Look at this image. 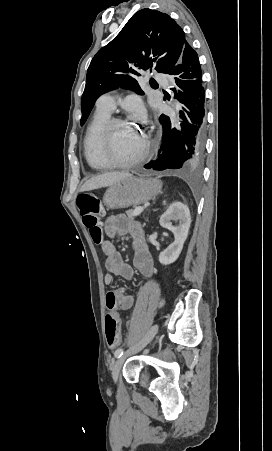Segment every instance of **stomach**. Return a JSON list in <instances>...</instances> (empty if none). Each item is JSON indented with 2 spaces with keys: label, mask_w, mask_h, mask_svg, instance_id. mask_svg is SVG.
<instances>
[{
  "label": "stomach",
  "mask_w": 272,
  "mask_h": 451,
  "mask_svg": "<svg viewBox=\"0 0 272 451\" xmlns=\"http://www.w3.org/2000/svg\"><path fill=\"white\" fill-rule=\"evenodd\" d=\"M161 192V184L158 180H148L140 176H128L117 184L109 186L103 198V204L108 210L139 206L147 200H152Z\"/></svg>",
  "instance_id": "1"
}]
</instances>
